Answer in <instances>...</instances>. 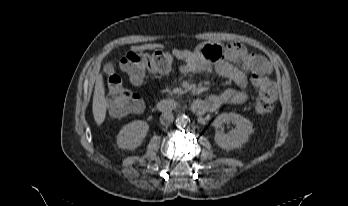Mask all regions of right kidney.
<instances>
[{
  "label": "right kidney",
  "mask_w": 348,
  "mask_h": 206,
  "mask_svg": "<svg viewBox=\"0 0 348 206\" xmlns=\"http://www.w3.org/2000/svg\"><path fill=\"white\" fill-rule=\"evenodd\" d=\"M149 125L142 120H135L122 127L117 135V145L122 149L134 150L141 145L147 135Z\"/></svg>",
  "instance_id": "right-kidney-1"
}]
</instances>
